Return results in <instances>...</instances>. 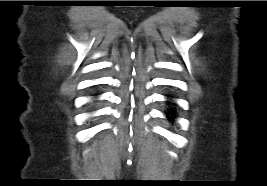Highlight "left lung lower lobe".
Returning a JSON list of instances; mask_svg holds the SVG:
<instances>
[{"mask_svg": "<svg viewBox=\"0 0 267 186\" xmlns=\"http://www.w3.org/2000/svg\"><path fill=\"white\" fill-rule=\"evenodd\" d=\"M166 117H167L169 120L173 121L174 118H175V115H174V113H173L172 110H169L168 112H166Z\"/></svg>", "mask_w": 267, "mask_h": 186, "instance_id": "left-lung-lower-lobe-1", "label": "left lung lower lobe"}]
</instances>
